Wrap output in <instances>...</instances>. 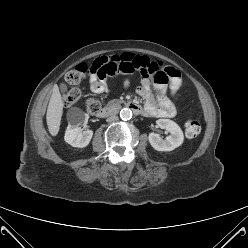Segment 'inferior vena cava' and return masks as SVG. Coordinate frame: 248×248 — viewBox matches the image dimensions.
Here are the masks:
<instances>
[{"label":"inferior vena cava","mask_w":248,"mask_h":248,"mask_svg":"<svg viewBox=\"0 0 248 248\" xmlns=\"http://www.w3.org/2000/svg\"><path fill=\"white\" fill-rule=\"evenodd\" d=\"M117 120H118V116H115V115H112L106 119L107 122H113Z\"/></svg>","instance_id":"1"}]
</instances>
